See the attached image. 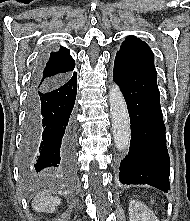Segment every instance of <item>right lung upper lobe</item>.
<instances>
[{
    "label": "right lung upper lobe",
    "mask_w": 190,
    "mask_h": 221,
    "mask_svg": "<svg viewBox=\"0 0 190 221\" xmlns=\"http://www.w3.org/2000/svg\"><path fill=\"white\" fill-rule=\"evenodd\" d=\"M75 61L70 56V51L65 47H60L57 52H52L48 61L39 70L37 83L42 85L63 81L72 74Z\"/></svg>",
    "instance_id": "cb5924a9"
}]
</instances>
